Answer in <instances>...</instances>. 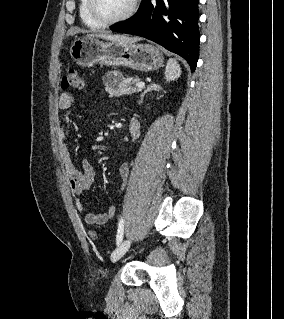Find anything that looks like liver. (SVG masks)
Listing matches in <instances>:
<instances>
[{
	"label": "liver",
	"mask_w": 284,
	"mask_h": 319,
	"mask_svg": "<svg viewBox=\"0 0 284 319\" xmlns=\"http://www.w3.org/2000/svg\"><path fill=\"white\" fill-rule=\"evenodd\" d=\"M87 36H91V37H97V38H103L109 41H115V42H120V43H136L137 41H139V38L136 37H128L125 35H112L109 33H99V34H89Z\"/></svg>",
	"instance_id": "1"
}]
</instances>
